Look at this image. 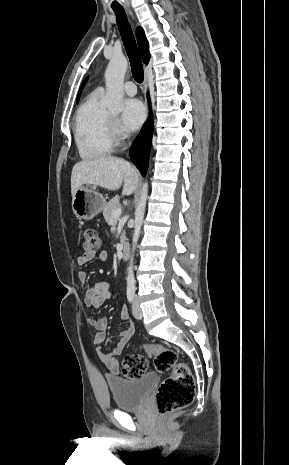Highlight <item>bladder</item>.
<instances>
[{
	"instance_id": "obj_1",
	"label": "bladder",
	"mask_w": 289,
	"mask_h": 465,
	"mask_svg": "<svg viewBox=\"0 0 289 465\" xmlns=\"http://www.w3.org/2000/svg\"><path fill=\"white\" fill-rule=\"evenodd\" d=\"M157 380V375L148 373L137 379L113 377L107 383L118 409L137 410L144 405Z\"/></svg>"
}]
</instances>
